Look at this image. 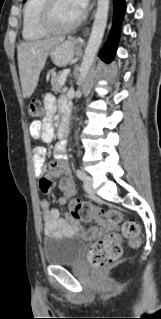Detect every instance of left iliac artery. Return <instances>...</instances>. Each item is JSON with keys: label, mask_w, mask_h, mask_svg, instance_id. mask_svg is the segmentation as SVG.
I'll return each mask as SVG.
<instances>
[{"label": "left iliac artery", "mask_w": 161, "mask_h": 319, "mask_svg": "<svg viewBox=\"0 0 161 319\" xmlns=\"http://www.w3.org/2000/svg\"><path fill=\"white\" fill-rule=\"evenodd\" d=\"M76 174H77V177L79 179H81V180H86L87 179V175L83 171H81L79 169L76 170Z\"/></svg>", "instance_id": "1"}]
</instances>
